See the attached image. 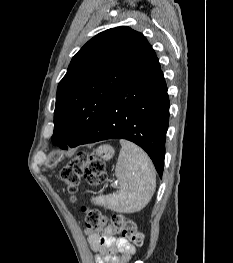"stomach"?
Instances as JSON below:
<instances>
[{
	"instance_id": "1",
	"label": "stomach",
	"mask_w": 233,
	"mask_h": 263,
	"mask_svg": "<svg viewBox=\"0 0 233 263\" xmlns=\"http://www.w3.org/2000/svg\"><path fill=\"white\" fill-rule=\"evenodd\" d=\"M55 154L56 153H53V155ZM96 154L101 156L104 160H109L114 155V149L109 145H103L97 148ZM59 161H60V158H55L53 165H57Z\"/></svg>"
}]
</instances>
